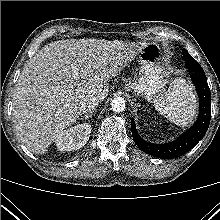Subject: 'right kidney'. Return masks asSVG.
<instances>
[{
  "label": "right kidney",
  "instance_id": "obj_1",
  "mask_svg": "<svg viewBox=\"0 0 220 220\" xmlns=\"http://www.w3.org/2000/svg\"><path fill=\"white\" fill-rule=\"evenodd\" d=\"M91 125L88 123L75 125L62 131L55 138L57 149L60 151H73L82 148L88 141Z\"/></svg>",
  "mask_w": 220,
  "mask_h": 220
}]
</instances>
